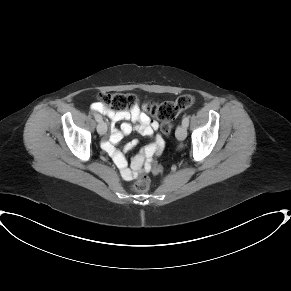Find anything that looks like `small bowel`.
I'll use <instances>...</instances> for the list:
<instances>
[{
  "label": "small bowel",
  "instance_id": "small-bowel-1",
  "mask_svg": "<svg viewBox=\"0 0 291 291\" xmlns=\"http://www.w3.org/2000/svg\"><path fill=\"white\" fill-rule=\"evenodd\" d=\"M92 109L103 113L112 122H120L119 129H112L110 137L103 143L104 149L112 156L114 162L120 170L121 177L126 181H132L138 176L151 170V158L154 154L160 153L164 148V139L159 133H155L159 124L149 117L147 105L135 104L131 109L114 110L103 107L100 103H94ZM135 123V129L145 137H152L153 141L135 157L131 166H128L123 154L116 148V144L125 136L132 132L133 128L127 121ZM137 144L133 141L127 144L122 152L131 151Z\"/></svg>",
  "mask_w": 291,
  "mask_h": 291
}]
</instances>
